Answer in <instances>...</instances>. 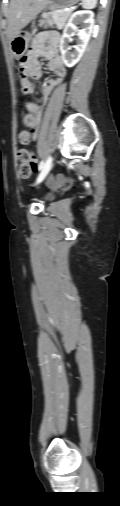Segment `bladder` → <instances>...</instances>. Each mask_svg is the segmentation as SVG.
Masks as SVG:
<instances>
[{"instance_id":"bladder-1","label":"bladder","mask_w":120,"mask_h":506,"mask_svg":"<svg viewBox=\"0 0 120 506\" xmlns=\"http://www.w3.org/2000/svg\"><path fill=\"white\" fill-rule=\"evenodd\" d=\"M53 196H54V195H53V193H48V194L46 195V198H47V199H51V198H53Z\"/></svg>"}]
</instances>
